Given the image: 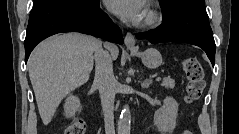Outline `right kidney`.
<instances>
[{
	"label": "right kidney",
	"mask_w": 239,
	"mask_h": 134,
	"mask_svg": "<svg viewBox=\"0 0 239 134\" xmlns=\"http://www.w3.org/2000/svg\"><path fill=\"white\" fill-rule=\"evenodd\" d=\"M80 108V100L77 96L70 95L64 104V111L67 118L75 116V113Z\"/></svg>",
	"instance_id": "ca27d5eb"
}]
</instances>
